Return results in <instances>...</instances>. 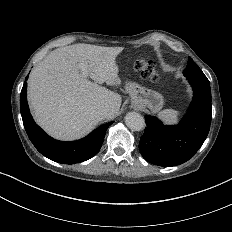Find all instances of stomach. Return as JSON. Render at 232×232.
<instances>
[{
  "label": "stomach",
  "instance_id": "1",
  "mask_svg": "<svg viewBox=\"0 0 232 232\" xmlns=\"http://www.w3.org/2000/svg\"><path fill=\"white\" fill-rule=\"evenodd\" d=\"M125 89L131 97V106L133 108L147 107L153 113H157L162 109L164 98L159 92L142 87L135 82H127Z\"/></svg>",
  "mask_w": 232,
  "mask_h": 232
}]
</instances>
